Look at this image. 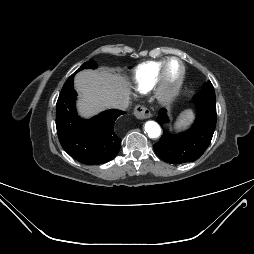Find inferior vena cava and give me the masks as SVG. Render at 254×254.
Listing matches in <instances>:
<instances>
[{
	"label": "inferior vena cava",
	"mask_w": 254,
	"mask_h": 254,
	"mask_svg": "<svg viewBox=\"0 0 254 254\" xmlns=\"http://www.w3.org/2000/svg\"><path fill=\"white\" fill-rule=\"evenodd\" d=\"M130 106L129 98L121 99L112 103V107L119 110H126Z\"/></svg>",
	"instance_id": "inferior-vena-cava-1"
}]
</instances>
